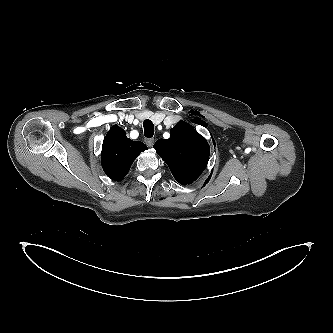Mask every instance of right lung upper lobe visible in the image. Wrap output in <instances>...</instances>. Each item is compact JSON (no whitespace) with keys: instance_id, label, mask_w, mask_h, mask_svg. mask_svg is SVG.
Listing matches in <instances>:
<instances>
[{"instance_id":"cb5924a9","label":"right lung upper lobe","mask_w":333,"mask_h":333,"mask_svg":"<svg viewBox=\"0 0 333 333\" xmlns=\"http://www.w3.org/2000/svg\"><path fill=\"white\" fill-rule=\"evenodd\" d=\"M146 149L144 143L130 140L122 128L114 125L107 132L102 145L101 162L104 172L111 179L121 181L133 161Z\"/></svg>"}]
</instances>
